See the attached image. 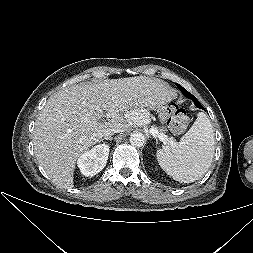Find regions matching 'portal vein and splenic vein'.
Returning <instances> with one entry per match:
<instances>
[{
    "label": "portal vein and splenic vein",
    "mask_w": 253,
    "mask_h": 253,
    "mask_svg": "<svg viewBox=\"0 0 253 253\" xmlns=\"http://www.w3.org/2000/svg\"><path fill=\"white\" fill-rule=\"evenodd\" d=\"M150 133L164 143L168 140L167 136L164 133L159 132L156 128H151Z\"/></svg>",
    "instance_id": "18ae733b"
}]
</instances>
